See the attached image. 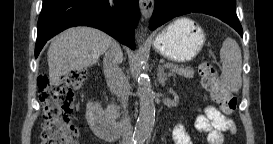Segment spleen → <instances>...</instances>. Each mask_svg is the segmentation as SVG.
Here are the masks:
<instances>
[{
    "mask_svg": "<svg viewBox=\"0 0 273 144\" xmlns=\"http://www.w3.org/2000/svg\"><path fill=\"white\" fill-rule=\"evenodd\" d=\"M222 61L221 83L228 91L237 92L241 88L242 56L237 42L227 37L220 50Z\"/></svg>",
    "mask_w": 273,
    "mask_h": 144,
    "instance_id": "spleen-1",
    "label": "spleen"
}]
</instances>
